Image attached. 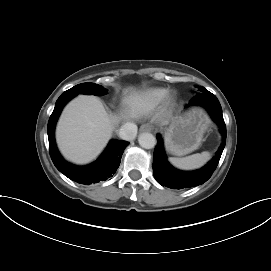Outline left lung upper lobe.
<instances>
[{
    "label": "left lung upper lobe",
    "mask_w": 271,
    "mask_h": 271,
    "mask_svg": "<svg viewBox=\"0 0 271 271\" xmlns=\"http://www.w3.org/2000/svg\"><path fill=\"white\" fill-rule=\"evenodd\" d=\"M201 89V92H206L207 90L203 87L200 88Z\"/></svg>",
    "instance_id": "1"
}]
</instances>
